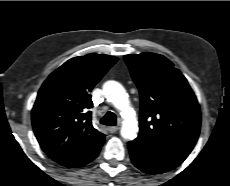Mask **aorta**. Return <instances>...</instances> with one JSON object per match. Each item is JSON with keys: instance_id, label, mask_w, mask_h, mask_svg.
I'll list each match as a JSON object with an SVG mask.
<instances>
[{"instance_id": "762f6f07", "label": "aorta", "mask_w": 230, "mask_h": 186, "mask_svg": "<svg viewBox=\"0 0 230 186\" xmlns=\"http://www.w3.org/2000/svg\"><path fill=\"white\" fill-rule=\"evenodd\" d=\"M103 91L107 100L121 111L124 118L121 136L126 140L135 139L138 132V122L134 111L129 106L128 94L124 87L116 81H107L103 85Z\"/></svg>"}]
</instances>
